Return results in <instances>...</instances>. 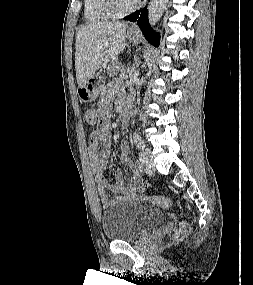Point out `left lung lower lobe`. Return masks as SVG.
I'll use <instances>...</instances> for the list:
<instances>
[{
	"instance_id": "obj_1",
	"label": "left lung lower lobe",
	"mask_w": 253,
	"mask_h": 285,
	"mask_svg": "<svg viewBox=\"0 0 253 285\" xmlns=\"http://www.w3.org/2000/svg\"><path fill=\"white\" fill-rule=\"evenodd\" d=\"M124 19L132 22L137 21L138 26L140 27L147 40L155 46L159 45V35L157 33H154L149 25L146 7L141 11V13L137 11L126 16Z\"/></svg>"
}]
</instances>
